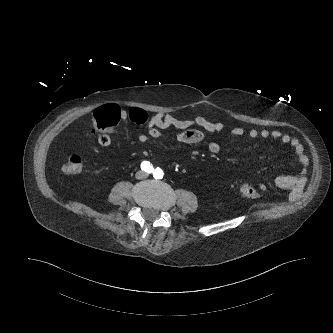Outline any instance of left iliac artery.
<instances>
[{
  "label": "left iliac artery",
  "instance_id": "1",
  "mask_svg": "<svg viewBox=\"0 0 333 333\" xmlns=\"http://www.w3.org/2000/svg\"><path fill=\"white\" fill-rule=\"evenodd\" d=\"M153 173L155 178H161L163 176V171L159 167L155 168Z\"/></svg>",
  "mask_w": 333,
  "mask_h": 333
}]
</instances>
